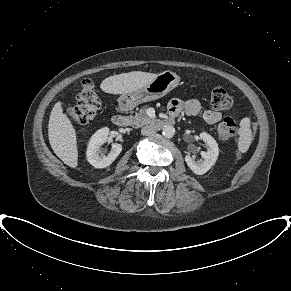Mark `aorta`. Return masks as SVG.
I'll return each mask as SVG.
<instances>
[{
  "label": "aorta",
  "mask_w": 291,
  "mask_h": 291,
  "mask_svg": "<svg viewBox=\"0 0 291 291\" xmlns=\"http://www.w3.org/2000/svg\"><path fill=\"white\" fill-rule=\"evenodd\" d=\"M162 134L166 138H172L175 134V129L173 126H170V125L164 126L162 130Z\"/></svg>",
  "instance_id": "aorta-1"
}]
</instances>
